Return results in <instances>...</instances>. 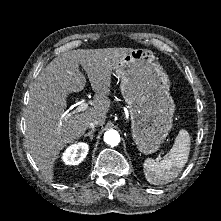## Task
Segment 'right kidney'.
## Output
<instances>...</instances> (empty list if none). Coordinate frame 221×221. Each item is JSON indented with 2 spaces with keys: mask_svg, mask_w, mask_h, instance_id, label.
I'll list each match as a JSON object with an SVG mask.
<instances>
[{
  "mask_svg": "<svg viewBox=\"0 0 221 221\" xmlns=\"http://www.w3.org/2000/svg\"><path fill=\"white\" fill-rule=\"evenodd\" d=\"M89 150L86 143L80 142L70 145L62 155V160L67 165H78L81 163Z\"/></svg>",
  "mask_w": 221,
  "mask_h": 221,
  "instance_id": "ca27d5eb",
  "label": "right kidney"
}]
</instances>
